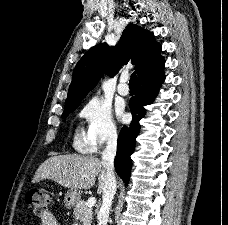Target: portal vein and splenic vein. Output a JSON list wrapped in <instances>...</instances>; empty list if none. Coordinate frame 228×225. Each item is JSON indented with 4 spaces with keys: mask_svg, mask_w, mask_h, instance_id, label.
Instances as JSON below:
<instances>
[{
    "mask_svg": "<svg viewBox=\"0 0 228 225\" xmlns=\"http://www.w3.org/2000/svg\"><path fill=\"white\" fill-rule=\"evenodd\" d=\"M95 205H96L95 197H90V199H88L87 203H85V207H88V209H92V207H95Z\"/></svg>",
    "mask_w": 228,
    "mask_h": 225,
    "instance_id": "portal-vein-and-splenic-vein-1",
    "label": "portal vein and splenic vein"
}]
</instances>
